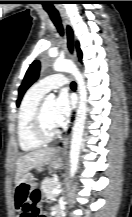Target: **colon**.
Listing matches in <instances>:
<instances>
[{"instance_id": "1", "label": "colon", "mask_w": 132, "mask_h": 217, "mask_svg": "<svg viewBox=\"0 0 132 217\" xmlns=\"http://www.w3.org/2000/svg\"><path fill=\"white\" fill-rule=\"evenodd\" d=\"M27 209L32 217L40 216V192L38 190L32 191L26 198Z\"/></svg>"}]
</instances>
